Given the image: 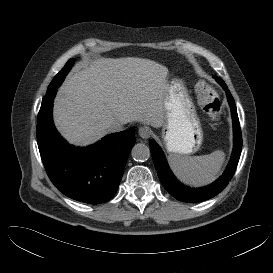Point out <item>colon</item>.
Returning a JSON list of instances; mask_svg holds the SVG:
<instances>
[{"label":"colon","instance_id":"colon-1","mask_svg":"<svg viewBox=\"0 0 273 273\" xmlns=\"http://www.w3.org/2000/svg\"><path fill=\"white\" fill-rule=\"evenodd\" d=\"M196 95L199 104L210 121L217 122L222 117V109L219 96L216 90L206 82H198Z\"/></svg>","mask_w":273,"mask_h":273}]
</instances>
